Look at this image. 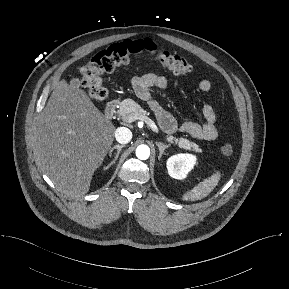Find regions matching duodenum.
<instances>
[{"label": "duodenum", "instance_id": "obj_1", "mask_svg": "<svg viewBox=\"0 0 289 289\" xmlns=\"http://www.w3.org/2000/svg\"><path fill=\"white\" fill-rule=\"evenodd\" d=\"M118 107V101L117 100H111L107 103L106 108H105V116L108 119H111L117 110Z\"/></svg>", "mask_w": 289, "mask_h": 289}]
</instances>
